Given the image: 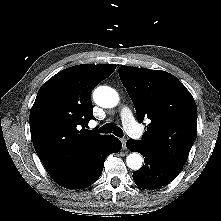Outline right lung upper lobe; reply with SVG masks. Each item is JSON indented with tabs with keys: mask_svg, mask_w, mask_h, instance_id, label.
<instances>
[{
	"mask_svg": "<svg viewBox=\"0 0 221 221\" xmlns=\"http://www.w3.org/2000/svg\"><path fill=\"white\" fill-rule=\"evenodd\" d=\"M115 69V64L73 66L38 91L30 111V130L37 155L51 177L107 138L85 127L94 118L93 88Z\"/></svg>",
	"mask_w": 221,
	"mask_h": 221,
	"instance_id": "obj_1",
	"label": "right lung upper lobe"
}]
</instances>
